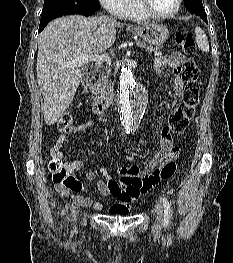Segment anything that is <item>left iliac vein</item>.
<instances>
[{
  "instance_id": "1",
  "label": "left iliac vein",
  "mask_w": 233,
  "mask_h": 263,
  "mask_svg": "<svg viewBox=\"0 0 233 263\" xmlns=\"http://www.w3.org/2000/svg\"><path fill=\"white\" fill-rule=\"evenodd\" d=\"M156 211V228H161L164 219V209L163 205L160 202H157L155 205Z\"/></svg>"
}]
</instances>
